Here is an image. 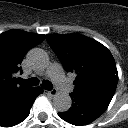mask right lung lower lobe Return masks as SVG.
<instances>
[{"label": "right lung lower lobe", "instance_id": "1", "mask_svg": "<svg viewBox=\"0 0 128 128\" xmlns=\"http://www.w3.org/2000/svg\"><path fill=\"white\" fill-rule=\"evenodd\" d=\"M41 93V87H28L13 96L0 108V126L11 127L25 120L35 98Z\"/></svg>", "mask_w": 128, "mask_h": 128}]
</instances>
